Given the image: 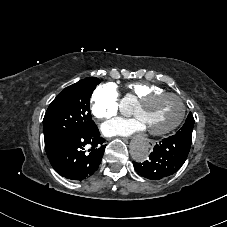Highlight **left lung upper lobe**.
<instances>
[{"label":"left lung upper lobe","mask_w":227,"mask_h":227,"mask_svg":"<svg viewBox=\"0 0 227 227\" xmlns=\"http://www.w3.org/2000/svg\"><path fill=\"white\" fill-rule=\"evenodd\" d=\"M193 127H194V118L192 114L189 113L184 125L180 128V130L175 135L192 138Z\"/></svg>","instance_id":"left-lung-upper-lobe-1"}]
</instances>
